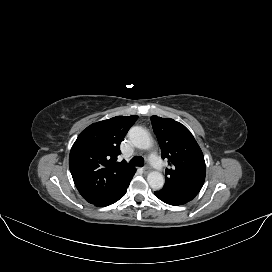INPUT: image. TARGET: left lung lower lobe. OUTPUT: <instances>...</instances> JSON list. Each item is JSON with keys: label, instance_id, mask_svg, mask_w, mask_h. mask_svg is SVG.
I'll return each mask as SVG.
<instances>
[{"label": "left lung lower lobe", "instance_id": "left-lung-lower-lobe-1", "mask_svg": "<svg viewBox=\"0 0 272 272\" xmlns=\"http://www.w3.org/2000/svg\"><path fill=\"white\" fill-rule=\"evenodd\" d=\"M199 191L178 190L163 187L162 190L154 192L155 196L170 205H183L191 201Z\"/></svg>", "mask_w": 272, "mask_h": 272}]
</instances>
